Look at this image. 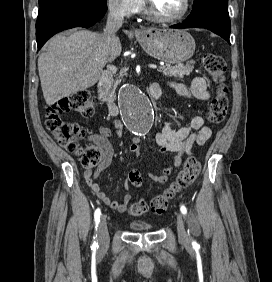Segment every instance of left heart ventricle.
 Segmentation results:
<instances>
[{
  "label": "left heart ventricle",
  "mask_w": 272,
  "mask_h": 282,
  "mask_svg": "<svg viewBox=\"0 0 272 282\" xmlns=\"http://www.w3.org/2000/svg\"><path fill=\"white\" fill-rule=\"evenodd\" d=\"M152 7L166 16H175L182 12L183 0H149Z\"/></svg>",
  "instance_id": "b2bd125f"
}]
</instances>
